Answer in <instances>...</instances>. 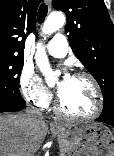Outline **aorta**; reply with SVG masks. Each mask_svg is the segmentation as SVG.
<instances>
[{
	"mask_svg": "<svg viewBox=\"0 0 114 156\" xmlns=\"http://www.w3.org/2000/svg\"><path fill=\"white\" fill-rule=\"evenodd\" d=\"M64 23H65L64 14L59 12L51 13L43 25L42 32L44 34H51L57 31L59 28H61L64 25ZM35 60L37 66L45 75L47 83L54 82L55 74H53L50 69V65L45 53V49L41 45H38V49L35 55Z\"/></svg>",
	"mask_w": 114,
	"mask_h": 156,
	"instance_id": "obj_1",
	"label": "aorta"
}]
</instances>
